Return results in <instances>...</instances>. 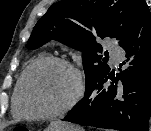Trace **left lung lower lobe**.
Here are the masks:
<instances>
[{
  "instance_id": "0a47b994",
  "label": "left lung lower lobe",
  "mask_w": 151,
  "mask_h": 131,
  "mask_svg": "<svg viewBox=\"0 0 151 131\" xmlns=\"http://www.w3.org/2000/svg\"><path fill=\"white\" fill-rule=\"evenodd\" d=\"M134 67L96 79L63 121L118 131H148L151 110V13L144 2L126 42ZM124 64V63H123ZM112 80L107 86V80Z\"/></svg>"
}]
</instances>
